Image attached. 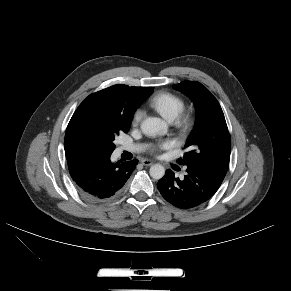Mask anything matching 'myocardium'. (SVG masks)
<instances>
[{
    "instance_id": "1",
    "label": "myocardium",
    "mask_w": 291,
    "mask_h": 291,
    "mask_svg": "<svg viewBox=\"0 0 291 291\" xmlns=\"http://www.w3.org/2000/svg\"><path fill=\"white\" fill-rule=\"evenodd\" d=\"M177 124L183 129H188L191 125V117L188 114H181L177 119Z\"/></svg>"
}]
</instances>
